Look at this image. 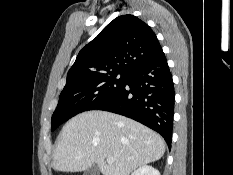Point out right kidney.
Segmentation results:
<instances>
[{"instance_id":"right-kidney-1","label":"right kidney","mask_w":233,"mask_h":175,"mask_svg":"<svg viewBox=\"0 0 233 175\" xmlns=\"http://www.w3.org/2000/svg\"><path fill=\"white\" fill-rule=\"evenodd\" d=\"M131 175H160L159 171L152 166H141L135 170Z\"/></svg>"}]
</instances>
